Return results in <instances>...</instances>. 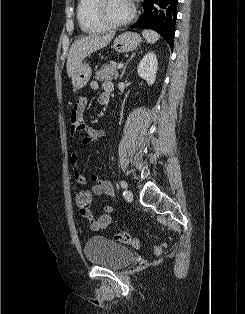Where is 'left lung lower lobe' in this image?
<instances>
[{"mask_svg":"<svg viewBox=\"0 0 245 314\" xmlns=\"http://www.w3.org/2000/svg\"><path fill=\"white\" fill-rule=\"evenodd\" d=\"M178 0H144V12L131 27L157 31L173 47Z\"/></svg>","mask_w":245,"mask_h":314,"instance_id":"0a47b994","label":"left lung lower lobe"}]
</instances>
